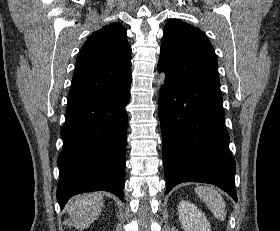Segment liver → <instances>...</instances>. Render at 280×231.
<instances>
[{
	"instance_id": "6515ba94",
	"label": "liver",
	"mask_w": 280,
	"mask_h": 231,
	"mask_svg": "<svg viewBox=\"0 0 280 231\" xmlns=\"http://www.w3.org/2000/svg\"><path fill=\"white\" fill-rule=\"evenodd\" d=\"M102 193H83L75 195L68 203V211L77 229H86L94 219H97L103 207Z\"/></svg>"
}]
</instances>
